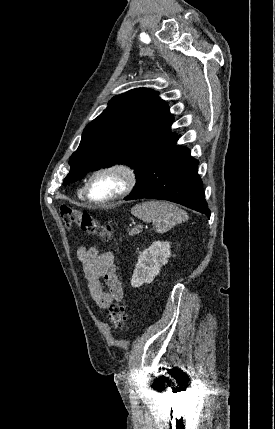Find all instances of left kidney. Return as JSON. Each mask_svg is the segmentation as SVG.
<instances>
[{
  "label": "left kidney",
  "instance_id": "left-kidney-1",
  "mask_svg": "<svg viewBox=\"0 0 275 429\" xmlns=\"http://www.w3.org/2000/svg\"><path fill=\"white\" fill-rule=\"evenodd\" d=\"M171 256L170 243L155 241L138 257L137 264L131 279V286L138 288L144 283H152L160 268L167 264Z\"/></svg>",
  "mask_w": 275,
  "mask_h": 429
}]
</instances>
